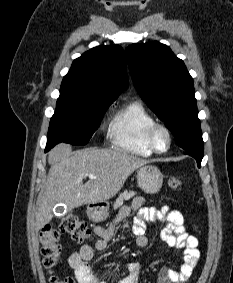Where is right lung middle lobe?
I'll use <instances>...</instances> for the list:
<instances>
[{"instance_id": "1", "label": "right lung middle lobe", "mask_w": 233, "mask_h": 283, "mask_svg": "<svg viewBox=\"0 0 233 283\" xmlns=\"http://www.w3.org/2000/svg\"><path fill=\"white\" fill-rule=\"evenodd\" d=\"M108 107L109 104L91 103L60 91L48 129L46 150L60 142L85 145Z\"/></svg>"}]
</instances>
